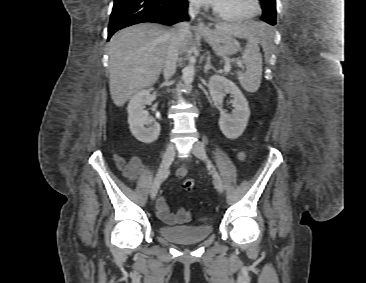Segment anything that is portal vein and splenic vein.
<instances>
[{
  "instance_id": "obj_1",
  "label": "portal vein and splenic vein",
  "mask_w": 366,
  "mask_h": 283,
  "mask_svg": "<svg viewBox=\"0 0 366 283\" xmlns=\"http://www.w3.org/2000/svg\"><path fill=\"white\" fill-rule=\"evenodd\" d=\"M236 64H237V66H238V67H241V68L243 67V62H242L241 60H237V61H236ZM225 71H226V72H229V71H230V66H229V64H226V65H225Z\"/></svg>"
}]
</instances>
